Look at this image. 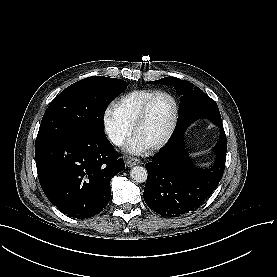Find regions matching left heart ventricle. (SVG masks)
<instances>
[{"mask_svg": "<svg viewBox=\"0 0 277 277\" xmlns=\"http://www.w3.org/2000/svg\"><path fill=\"white\" fill-rule=\"evenodd\" d=\"M173 108L170 99L163 96L154 98L138 129L137 139L143 144H153L161 140L170 125Z\"/></svg>", "mask_w": 277, "mask_h": 277, "instance_id": "b2bd125f", "label": "left heart ventricle"}]
</instances>
